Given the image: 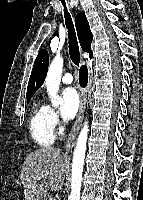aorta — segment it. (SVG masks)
I'll return each mask as SVG.
<instances>
[{"mask_svg": "<svg viewBox=\"0 0 143 200\" xmlns=\"http://www.w3.org/2000/svg\"><path fill=\"white\" fill-rule=\"evenodd\" d=\"M62 69H63V59L62 57L57 55L49 66V70L45 80L47 92L51 99L52 106L54 107L59 106V104L61 103V99L57 93L59 90ZM88 131H89L88 122L85 121L78 136L73 154L70 200H80L82 173L84 167L85 152L87 147Z\"/></svg>", "mask_w": 143, "mask_h": 200, "instance_id": "1", "label": "aorta"}]
</instances>
